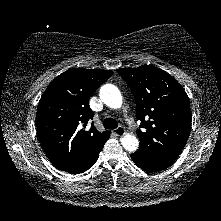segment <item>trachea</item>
<instances>
[{
    "label": "trachea",
    "instance_id": "trachea-1",
    "mask_svg": "<svg viewBox=\"0 0 221 221\" xmlns=\"http://www.w3.org/2000/svg\"><path fill=\"white\" fill-rule=\"evenodd\" d=\"M103 125L107 129H115L118 127L117 121L113 118H106L103 122Z\"/></svg>",
    "mask_w": 221,
    "mask_h": 221
}]
</instances>
